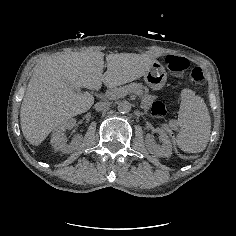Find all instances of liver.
<instances>
[{
	"mask_svg": "<svg viewBox=\"0 0 236 236\" xmlns=\"http://www.w3.org/2000/svg\"><path fill=\"white\" fill-rule=\"evenodd\" d=\"M104 57L107 70L103 73ZM143 55L85 49L55 53L41 59L26 87L20 107V126L25 139L39 146L48 135L67 120L88 111L94 104L89 92L120 86L145 74Z\"/></svg>",
	"mask_w": 236,
	"mask_h": 236,
	"instance_id": "obj_1",
	"label": "liver"
}]
</instances>
